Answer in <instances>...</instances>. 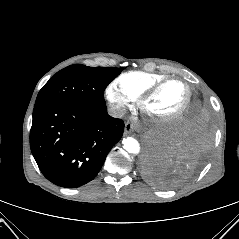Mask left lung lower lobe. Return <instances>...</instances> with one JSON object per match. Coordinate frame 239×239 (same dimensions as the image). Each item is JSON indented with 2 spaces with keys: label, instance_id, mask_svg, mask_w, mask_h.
<instances>
[{
  "label": "left lung lower lobe",
  "instance_id": "obj_1",
  "mask_svg": "<svg viewBox=\"0 0 239 239\" xmlns=\"http://www.w3.org/2000/svg\"><path fill=\"white\" fill-rule=\"evenodd\" d=\"M211 137L208 112L195 103L168 132L149 142L142 163L144 176L162 188L184 183L203 165Z\"/></svg>",
  "mask_w": 239,
  "mask_h": 239
}]
</instances>
